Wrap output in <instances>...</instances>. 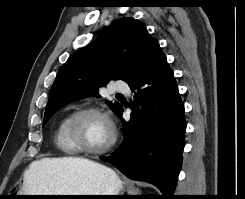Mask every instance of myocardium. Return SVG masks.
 <instances>
[{"label": "myocardium", "mask_w": 245, "mask_h": 199, "mask_svg": "<svg viewBox=\"0 0 245 199\" xmlns=\"http://www.w3.org/2000/svg\"><path fill=\"white\" fill-rule=\"evenodd\" d=\"M88 115H97V116L103 117L109 124L110 131H111V137H110L109 142L101 148H96V149L89 148L85 146L84 144H82L78 139L74 137L76 133V126L79 120ZM66 135L69 141L71 142V145L77 152L84 153L87 155L105 154L114 147L117 141V132H116L115 125L112 121L110 114L107 111L101 108H97V107H87V108L79 109L75 111L74 113H72L66 124Z\"/></svg>", "instance_id": "obj_1"}]
</instances>
